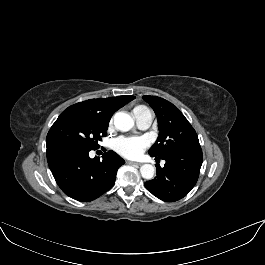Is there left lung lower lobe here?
Masks as SVG:
<instances>
[{
  "mask_svg": "<svg viewBox=\"0 0 265 265\" xmlns=\"http://www.w3.org/2000/svg\"><path fill=\"white\" fill-rule=\"evenodd\" d=\"M155 159H164L165 166L161 168L156 165L157 176L145 182V187L166 202H174L186 196L198 180L203 161L201 147L174 150Z\"/></svg>",
  "mask_w": 265,
  "mask_h": 265,
  "instance_id": "0a47b994",
  "label": "left lung lower lobe"
}]
</instances>
